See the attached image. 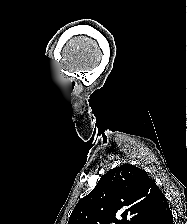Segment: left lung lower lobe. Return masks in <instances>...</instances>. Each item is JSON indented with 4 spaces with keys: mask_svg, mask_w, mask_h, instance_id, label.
<instances>
[{
    "mask_svg": "<svg viewBox=\"0 0 187 224\" xmlns=\"http://www.w3.org/2000/svg\"><path fill=\"white\" fill-rule=\"evenodd\" d=\"M148 224H173L172 212L164 195Z\"/></svg>",
    "mask_w": 187,
    "mask_h": 224,
    "instance_id": "left-lung-lower-lobe-1",
    "label": "left lung lower lobe"
}]
</instances>
